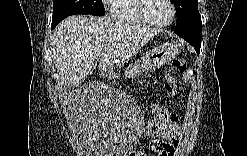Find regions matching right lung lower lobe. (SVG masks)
Instances as JSON below:
<instances>
[{
    "label": "right lung lower lobe",
    "mask_w": 247,
    "mask_h": 156,
    "mask_svg": "<svg viewBox=\"0 0 247 156\" xmlns=\"http://www.w3.org/2000/svg\"><path fill=\"white\" fill-rule=\"evenodd\" d=\"M58 23H54L52 22V25H51V30H53L56 26H57Z\"/></svg>",
    "instance_id": "1"
}]
</instances>
